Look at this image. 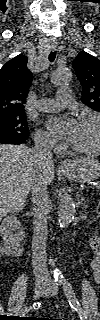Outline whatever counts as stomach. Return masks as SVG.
I'll list each match as a JSON object with an SVG mask.
<instances>
[{"label":"stomach","instance_id":"obj_1","mask_svg":"<svg viewBox=\"0 0 100 320\" xmlns=\"http://www.w3.org/2000/svg\"><path fill=\"white\" fill-rule=\"evenodd\" d=\"M63 172L73 181H94L100 177V162L93 157H79L70 161Z\"/></svg>","mask_w":100,"mask_h":320}]
</instances>
